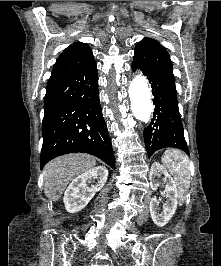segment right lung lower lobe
<instances>
[{
    "instance_id": "obj_1",
    "label": "right lung lower lobe",
    "mask_w": 221,
    "mask_h": 266,
    "mask_svg": "<svg viewBox=\"0 0 221 266\" xmlns=\"http://www.w3.org/2000/svg\"><path fill=\"white\" fill-rule=\"evenodd\" d=\"M40 167L75 152L92 154L115 168L99 101L96 62L50 79L44 99Z\"/></svg>"
}]
</instances>
